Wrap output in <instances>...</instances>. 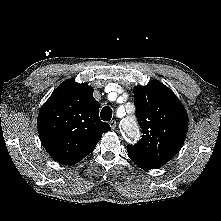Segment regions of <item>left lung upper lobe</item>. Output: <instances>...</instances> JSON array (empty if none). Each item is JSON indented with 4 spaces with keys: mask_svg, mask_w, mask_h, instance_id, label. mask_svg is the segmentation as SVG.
<instances>
[{
    "mask_svg": "<svg viewBox=\"0 0 221 221\" xmlns=\"http://www.w3.org/2000/svg\"><path fill=\"white\" fill-rule=\"evenodd\" d=\"M136 116L141 140L128 146L131 160L160 167L171 160L184 143L188 130L185 108L173 91L158 80L134 87Z\"/></svg>",
    "mask_w": 221,
    "mask_h": 221,
    "instance_id": "1",
    "label": "left lung upper lobe"
}]
</instances>
